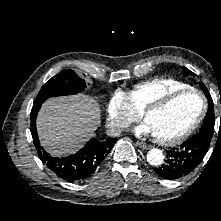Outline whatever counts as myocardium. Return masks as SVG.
I'll return each mask as SVG.
<instances>
[{
	"label": "myocardium",
	"mask_w": 221,
	"mask_h": 221,
	"mask_svg": "<svg viewBox=\"0 0 221 221\" xmlns=\"http://www.w3.org/2000/svg\"><path fill=\"white\" fill-rule=\"evenodd\" d=\"M189 93L197 94L201 98V101H202V107L196 119L186 129H184L182 132H180L179 134L175 136L164 138V137L153 135L155 142L162 144V145H175V144L182 142L186 138H188L199 127V125L201 124V122L203 121L207 113V109H208L207 99L200 90L193 88V87H188L184 89L171 91L163 95L162 97L153 101L151 104H149L140 112L141 118L145 120V118L149 114L158 112L166 108L168 105H170L173 101H175L180 96H183Z\"/></svg>",
	"instance_id": "myocardium-1"
}]
</instances>
